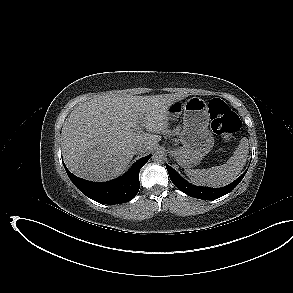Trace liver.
Instances as JSON below:
<instances>
[{
    "mask_svg": "<svg viewBox=\"0 0 293 293\" xmlns=\"http://www.w3.org/2000/svg\"><path fill=\"white\" fill-rule=\"evenodd\" d=\"M187 94L97 95L77 106L63 124V156L76 176L98 182L121 175L137 146L146 154L168 129V108ZM143 125L148 132L141 133Z\"/></svg>",
    "mask_w": 293,
    "mask_h": 293,
    "instance_id": "6515ba94",
    "label": "liver"
}]
</instances>
